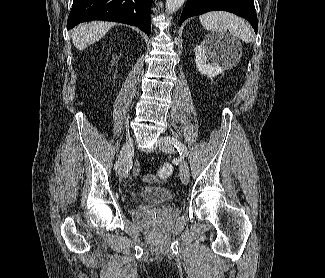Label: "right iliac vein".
I'll use <instances>...</instances> for the list:
<instances>
[{"instance_id": "1", "label": "right iliac vein", "mask_w": 325, "mask_h": 278, "mask_svg": "<svg viewBox=\"0 0 325 278\" xmlns=\"http://www.w3.org/2000/svg\"><path fill=\"white\" fill-rule=\"evenodd\" d=\"M132 153H133V140L129 139L123 145L120 152V164L118 169V173L120 177H124L126 175L128 169V162Z\"/></svg>"}]
</instances>
